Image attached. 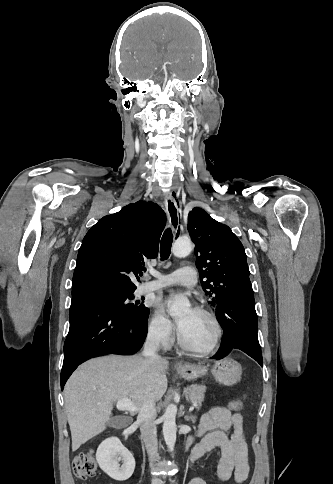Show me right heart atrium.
I'll list each match as a JSON object with an SVG mask.
<instances>
[{"mask_svg":"<svg viewBox=\"0 0 333 484\" xmlns=\"http://www.w3.org/2000/svg\"><path fill=\"white\" fill-rule=\"evenodd\" d=\"M149 338L163 348H168L174 340V327L161 312H155L148 323Z\"/></svg>","mask_w":333,"mask_h":484,"instance_id":"obj_1","label":"right heart atrium"}]
</instances>
